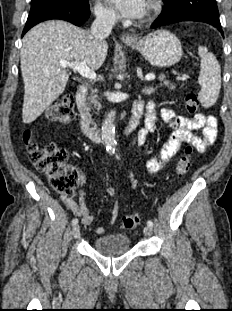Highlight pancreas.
Listing matches in <instances>:
<instances>
[{"label":"pancreas","mask_w":232,"mask_h":311,"mask_svg":"<svg viewBox=\"0 0 232 311\" xmlns=\"http://www.w3.org/2000/svg\"><path fill=\"white\" fill-rule=\"evenodd\" d=\"M159 81L162 83L161 85L162 86H167L169 87L171 90H174L175 89V86L170 83L168 80H166V77L165 75L163 74H160L159 77H158ZM93 93L94 95H91L87 100L89 102V105H94L95 107H98V109L101 108V104L100 102L98 101L99 97L97 96V90H93Z\"/></svg>","instance_id":"cf45deb5"}]
</instances>
